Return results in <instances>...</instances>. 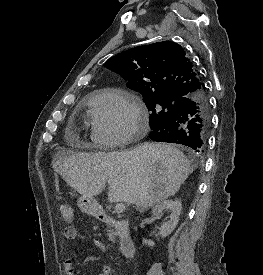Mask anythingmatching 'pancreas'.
Instances as JSON below:
<instances>
[{
	"mask_svg": "<svg viewBox=\"0 0 263 275\" xmlns=\"http://www.w3.org/2000/svg\"><path fill=\"white\" fill-rule=\"evenodd\" d=\"M108 237L110 241L115 242V233L113 231L108 233Z\"/></svg>",
	"mask_w": 263,
	"mask_h": 275,
	"instance_id": "1",
	"label": "pancreas"
}]
</instances>
